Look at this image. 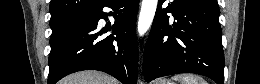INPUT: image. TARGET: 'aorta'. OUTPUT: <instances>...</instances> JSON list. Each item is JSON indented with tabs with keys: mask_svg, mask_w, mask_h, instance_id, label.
<instances>
[{
	"mask_svg": "<svg viewBox=\"0 0 260 84\" xmlns=\"http://www.w3.org/2000/svg\"><path fill=\"white\" fill-rule=\"evenodd\" d=\"M157 3V0H142L138 20V33L140 36L144 35L150 28L156 12Z\"/></svg>",
	"mask_w": 260,
	"mask_h": 84,
	"instance_id": "obj_1",
	"label": "aorta"
}]
</instances>
